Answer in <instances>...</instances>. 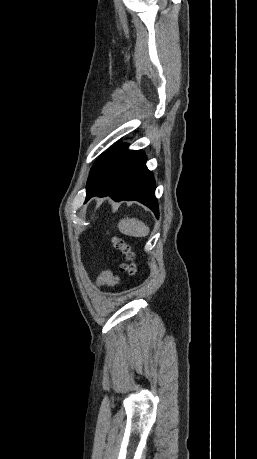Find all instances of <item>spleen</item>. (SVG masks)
Segmentation results:
<instances>
[{"mask_svg": "<svg viewBox=\"0 0 257 459\" xmlns=\"http://www.w3.org/2000/svg\"><path fill=\"white\" fill-rule=\"evenodd\" d=\"M122 234L133 237H145L149 234L148 226L137 218H124L118 223Z\"/></svg>", "mask_w": 257, "mask_h": 459, "instance_id": "3e777b00", "label": "spleen"}]
</instances>
